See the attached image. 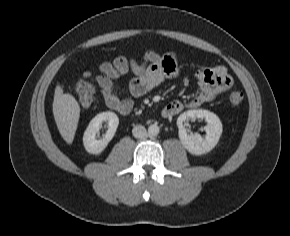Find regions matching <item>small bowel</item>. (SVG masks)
I'll list each match as a JSON object with an SVG mask.
<instances>
[{
	"instance_id": "obj_1",
	"label": "small bowel",
	"mask_w": 290,
	"mask_h": 236,
	"mask_svg": "<svg viewBox=\"0 0 290 236\" xmlns=\"http://www.w3.org/2000/svg\"><path fill=\"white\" fill-rule=\"evenodd\" d=\"M131 72L129 90L131 97L119 98L114 91V81ZM181 70L174 52L159 54L155 51L145 52L141 62L116 57L112 62H103L96 76V83L106 105L122 115L131 112L134 98L145 95L166 79L176 78ZM199 84L198 93L188 102L175 100L169 102L162 110L164 118H171L186 108H197L209 103L220 93L228 90L233 79L223 64H212L199 69L196 73Z\"/></svg>"
}]
</instances>
